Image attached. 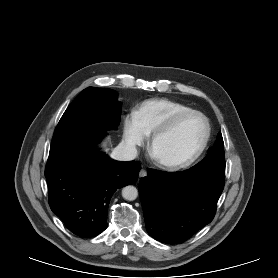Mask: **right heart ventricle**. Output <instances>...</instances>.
<instances>
[{"label": "right heart ventricle", "instance_id": "1", "mask_svg": "<svg viewBox=\"0 0 278 278\" xmlns=\"http://www.w3.org/2000/svg\"><path fill=\"white\" fill-rule=\"evenodd\" d=\"M190 109L189 106L174 100L153 98L143 101L135 112L144 130L151 134L175 115Z\"/></svg>", "mask_w": 278, "mask_h": 278}]
</instances>
